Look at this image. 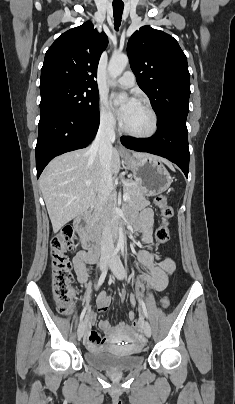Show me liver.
I'll use <instances>...</instances> for the list:
<instances>
[{"instance_id":"liver-1","label":"liver","mask_w":235,"mask_h":404,"mask_svg":"<svg viewBox=\"0 0 235 404\" xmlns=\"http://www.w3.org/2000/svg\"><path fill=\"white\" fill-rule=\"evenodd\" d=\"M143 155L133 153L134 157ZM162 161L169 164L166 160ZM120 165L119 152L113 148L112 176L119 173ZM101 179L102 167L98 152H91L90 148L65 153L47 165L40 177L39 186L54 233L88 210L99 192ZM86 182H90V185H86Z\"/></svg>"}]
</instances>
